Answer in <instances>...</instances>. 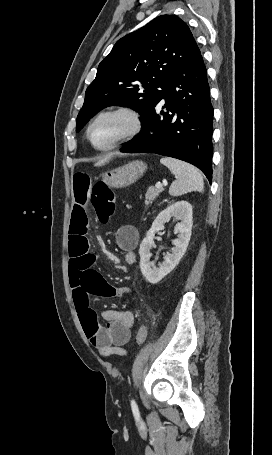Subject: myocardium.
I'll return each instance as SVG.
<instances>
[{
    "label": "myocardium",
    "mask_w": 272,
    "mask_h": 455,
    "mask_svg": "<svg viewBox=\"0 0 272 455\" xmlns=\"http://www.w3.org/2000/svg\"><path fill=\"white\" fill-rule=\"evenodd\" d=\"M113 115H119L123 116L127 119L128 121V127L126 131L119 137L117 138L114 142L111 144L104 146V147H99L97 146L92 138H91V130L93 126L103 117L106 116H113ZM143 127V121L141 114L133 107L128 106V105H117V106H112L105 108L101 111H99L89 122L87 129H86V138L90 145L97 151L101 152H107L111 151L119 146H121L124 143H127L137 137L139 133L141 132Z\"/></svg>",
    "instance_id": "f54148a6"
}]
</instances>
